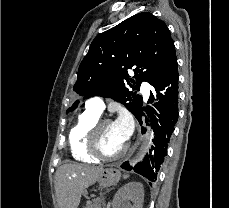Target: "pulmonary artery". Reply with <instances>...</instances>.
I'll return each mask as SVG.
<instances>
[{"mask_svg":"<svg viewBox=\"0 0 229 208\" xmlns=\"http://www.w3.org/2000/svg\"><path fill=\"white\" fill-rule=\"evenodd\" d=\"M149 91H150V85L147 83H144L142 85V93L144 94V96L147 98L149 95ZM86 108L94 111L97 114H101L105 108V104L103 101V98L100 96H95L90 98L87 102H86Z\"/></svg>","mask_w":229,"mask_h":208,"instance_id":"obj_1","label":"pulmonary artery"}]
</instances>
